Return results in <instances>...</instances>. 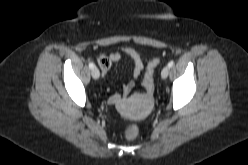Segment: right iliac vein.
<instances>
[{
    "mask_svg": "<svg viewBox=\"0 0 248 165\" xmlns=\"http://www.w3.org/2000/svg\"><path fill=\"white\" fill-rule=\"evenodd\" d=\"M91 74H92V77H93L95 80L99 79V77H100V72H99V70H98L96 67H94V68L92 69Z\"/></svg>",
    "mask_w": 248,
    "mask_h": 165,
    "instance_id": "right-iliac-vein-1",
    "label": "right iliac vein"
}]
</instances>
